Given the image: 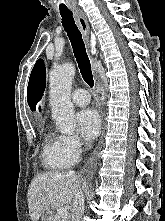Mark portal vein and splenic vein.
Wrapping results in <instances>:
<instances>
[{
    "instance_id": "obj_1",
    "label": "portal vein and splenic vein",
    "mask_w": 165,
    "mask_h": 221,
    "mask_svg": "<svg viewBox=\"0 0 165 221\" xmlns=\"http://www.w3.org/2000/svg\"><path fill=\"white\" fill-rule=\"evenodd\" d=\"M57 214L59 215L60 218H66L68 216V211L66 208L61 207V208H58Z\"/></svg>"
}]
</instances>
